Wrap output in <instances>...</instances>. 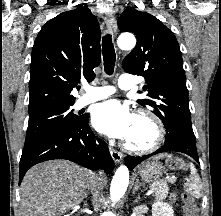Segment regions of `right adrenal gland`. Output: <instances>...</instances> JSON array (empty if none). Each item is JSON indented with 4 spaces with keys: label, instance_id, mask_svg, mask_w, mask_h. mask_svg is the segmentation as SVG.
Instances as JSON below:
<instances>
[{
    "label": "right adrenal gland",
    "instance_id": "obj_1",
    "mask_svg": "<svg viewBox=\"0 0 221 216\" xmlns=\"http://www.w3.org/2000/svg\"><path fill=\"white\" fill-rule=\"evenodd\" d=\"M88 192H89V187L87 188L84 197L87 198L88 197Z\"/></svg>",
    "mask_w": 221,
    "mask_h": 216
}]
</instances>
